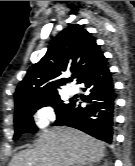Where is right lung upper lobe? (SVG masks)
<instances>
[{
  "label": "right lung upper lobe",
  "mask_w": 135,
  "mask_h": 166,
  "mask_svg": "<svg viewBox=\"0 0 135 166\" xmlns=\"http://www.w3.org/2000/svg\"><path fill=\"white\" fill-rule=\"evenodd\" d=\"M106 58L91 33L78 24L61 31L49 46L45 56L33 64L15 93V110L57 94L56 86L66 80L53 81L66 71L74 72L77 81Z\"/></svg>",
  "instance_id": "obj_1"
}]
</instances>
